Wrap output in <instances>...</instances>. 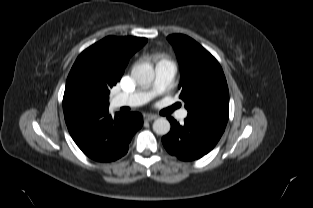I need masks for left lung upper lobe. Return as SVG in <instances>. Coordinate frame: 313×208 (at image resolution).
Here are the masks:
<instances>
[{
  "label": "left lung upper lobe",
  "mask_w": 313,
  "mask_h": 208,
  "mask_svg": "<svg viewBox=\"0 0 313 208\" xmlns=\"http://www.w3.org/2000/svg\"><path fill=\"white\" fill-rule=\"evenodd\" d=\"M175 49L181 70L180 98L188 118L226 127L229 115V91L218 61L192 38L173 34L167 37Z\"/></svg>",
  "instance_id": "obj_1"
}]
</instances>
